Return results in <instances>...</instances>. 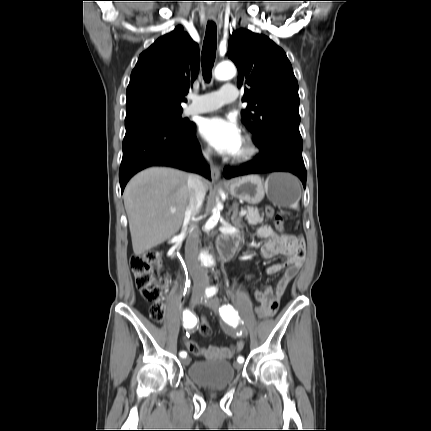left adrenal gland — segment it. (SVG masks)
Segmentation results:
<instances>
[{
  "label": "left adrenal gland",
  "mask_w": 431,
  "mask_h": 431,
  "mask_svg": "<svg viewBox=\"0 0 431 431\" xmlns=\"http://www.w3.org/2000/svg\"><path fill=\"white\" fill-rule=\"evenodd\" d=\"M238 215V204L236 202L233 203V214L231 216V221L234 225H240V218H237Z\"/></svg>",
  "instance_id": "1"
}]
</instances>
